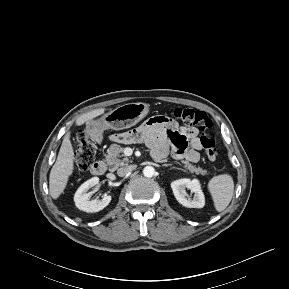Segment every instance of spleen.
Returning a JSON list of instances; mask_svg holds the SVG:
<instances>
[{"instance_id":"obj_1","label":"spleen","mask_w":289,"mask_h":289,"mask_svg":"<svg viewBox=\"0 0 289 289\" xmlns=\"http://www.w3.org/2000/svg\"><path fill=\"white\" fill-rule=\"evenodd\" d=\"M216 211L222 212L230 204L234 193V181L230 174L214 176L208 182Z\"/></svg>"}]
</instances>
